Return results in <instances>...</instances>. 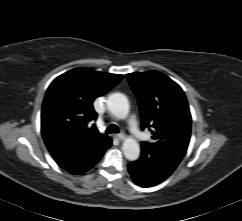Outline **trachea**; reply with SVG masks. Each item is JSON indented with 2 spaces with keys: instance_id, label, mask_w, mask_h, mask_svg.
Listing matches in <instances>:
<instances>
[{
  "instance_id": "obj_1",
  "label": "trachea",
  "mask_w": 242,
  "mask_h": 221,
  "mask_svg": "<svg viewBox=\"0 0 242 221\" xmlns=\"http://www.w3.org/2000/svg\"><path fill=\"white\" fill-rule=\"evenodd\" d=\"M106 133H119V128L115 124H111L107 127Z\"/></svg>"
}]
</instances>
